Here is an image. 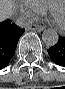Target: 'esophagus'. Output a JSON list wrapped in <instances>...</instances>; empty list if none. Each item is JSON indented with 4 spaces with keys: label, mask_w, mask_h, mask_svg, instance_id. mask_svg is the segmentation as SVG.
Returning a JSON list of instances; mask_svg holds the SVG:
<instances>
[{
    "label": "esophagus",
    "mask_w": 65,
    "mask_h": 89,
    "mask_svg": "<svg viewBox=\"0 0 65 89\" xmlns=\"http://www.w3.org/2000/svg\"><path fill=\"white\" fill-rule=\"evenodd\" d=\"M29 29H30V30H34V31H42V30L44 29V27H43V26H40V25L34 24V25H31V26L29 27Z\"/></svg>",
    "instance_id": "esophagus-1"
}]
</instances>
